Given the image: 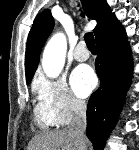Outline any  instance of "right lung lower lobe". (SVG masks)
I'll return each mask as SVG.
<instances>
[{
  "label": "right lung lower lobe",
  "mask_w": 139,
  "mask_h": 150,
  "mask_svg": "<svg viewBox=\"0 0 139 150\" xmlns=\"http://www.w3.org/2000/svg\"><path fill=\"white\" fill-rule=\"evenodd\" d=\"M95 62L100 87L87 106L86 134L95 150H102L123 105L132 74L131 49L120 22L113 16L95 37Z\"/></svg>",
  "instance_id": "1"
}]
</instances>
